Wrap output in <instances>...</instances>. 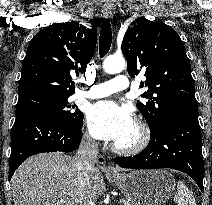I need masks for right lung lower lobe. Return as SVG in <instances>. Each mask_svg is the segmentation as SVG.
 Listing matches in <instances>:
<instances>
[{
  "label": "right lung lower lobe",
  "mask_w": 212,
  "mask_h": 205,
  "mask_svg": "<svg viewBox=\"0 0 212 205\" xmlns=\"http://www.w3.org/2000/svg\"><path fill=\"white\" fill-rule=\"evenodd\" d=\"M81 128L82 124L71 125L45 112L17 115L12 132L9 180L20 164L32 155L44 152H74L82 139Z\"/></svg>",
  "instance_id": "98d812e1"
}]
</instances>
